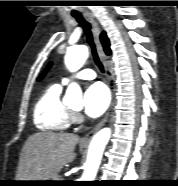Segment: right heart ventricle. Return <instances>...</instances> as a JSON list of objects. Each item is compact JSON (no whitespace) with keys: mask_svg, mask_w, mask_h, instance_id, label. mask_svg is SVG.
Returning <instances> with one entry per match:
<instances>
[{"mask_svg":"<svg viewBox=\"0 0 178 186\" xmlns=\"http://www.w3.org/2000/svg\"><path fill=\"white\" fill-rule=\"evenodd\" d=\"M61 85L54 84L38 98L34 107V124L43 132H60L69 127L72 113L61 99Z\"/></svg>","mask_w":178,"mask_h":186,"instance_id":"right-heart-ventricle-1","label":"right heart ventricle"}]
</instances>
